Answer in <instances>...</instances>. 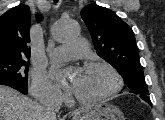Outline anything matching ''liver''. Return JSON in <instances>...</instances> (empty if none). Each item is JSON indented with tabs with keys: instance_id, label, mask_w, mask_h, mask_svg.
I'll return each mask as SVG.
<instances>
[{
	"instance_id": "liver-1",
	"label": "liver",
	"mask_w": 165,
	"mask_h": 120,
	"mask_svg": "<svg viewBox=\"0 0 165 120\" xmlns=\"http://www.w3.org/2000/svg\"><path fill=\"white\" fill-rule=\"evenodd\" d=\"M0 120H42L41 105L10 87L0 86Z\"/></svg>"
}]
</instances>
